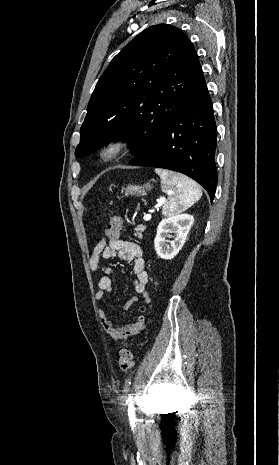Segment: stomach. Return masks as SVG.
<instances>
[{"label":"stomach","instance_id":"1","mask_svg":"<svg viewBox=\"0 0 279 465\" xmlns=\"http://www.w3.org/2000/svg\"><path fill=\"white\" fill-rule=\"evenodd\" d=\"M152 186L150 183H146L142 186L139 185H128L124 190L126 195H144L146 190H150Z\"/></svg>","mask_w":279,"mask_h":465}]
</instances>
